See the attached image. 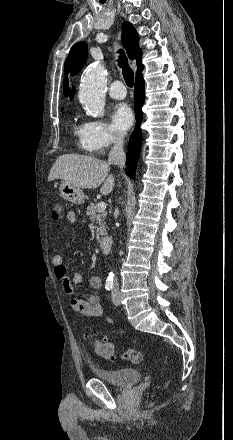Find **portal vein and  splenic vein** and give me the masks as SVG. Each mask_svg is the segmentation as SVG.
<instances>
[{
	"mask_svg": "<svg viewBox=\"0 0 233 440\" xmlns=\"http://www.w3.org/2000/svg\"><path fill=\"white\" fill-rule=\"evenodd\" d=\"M97 209L98 211H104L106 209V203L103 201L99 202L97 205Z\"/></svg>",
	"mask_w": 233,
	"mask_h": 440,
	"instance_id": "18ae733b",
	"label": "portal vein and splenic vein"
}]
</instances>
